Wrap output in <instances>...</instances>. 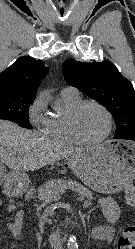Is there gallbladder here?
<instances>
[{"label": "gallbladder", "mask_w": 135, "mask_h": 249, "mask_svg": "<svg viewBox=\"0 0 135 249\" xmlns=\"http://www.w3.org/2000/svg\"><path fill=\"white\" fill-rule=\"evenodd\" d=\"M5 172V166L0 162V183H1V178L4 175Z\"/></svg>", "instance_id": "obj_1"}]
</instances>
